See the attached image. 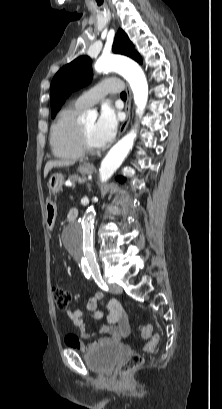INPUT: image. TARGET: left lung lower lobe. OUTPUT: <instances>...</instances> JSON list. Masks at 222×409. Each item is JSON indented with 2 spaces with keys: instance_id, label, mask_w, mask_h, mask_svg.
<instances>
[{
  "instance_id": "obj_1",
  "label": "left lung lower lobe",
  "mask_w": 222,
  "mask_h": 409,
  "mask_svg": "<svg viewBox=\"0 0 222 409\" xmlns=\"http://www.w3.org/2000/svg\"><path fill=\"white\" fill-rule=\"evenodd\" d=\"M117 180L120 181V182H123V181H124V178H122V177H117Z\"/></svg>"
}]
</instances>
